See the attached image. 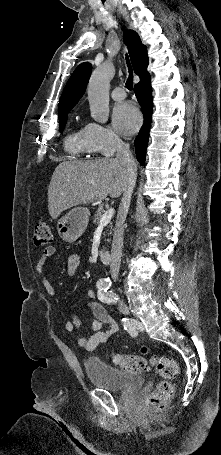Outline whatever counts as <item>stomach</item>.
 I'll return each mask as SVG.
<instances>
[{
    "mask_svg": "<svg viewBox=\"0 0 221 455\" xmlns=\"http://www.w3.org/2000/svg\"><path fill=\"white\" fill-rule=\"evenodd\" d=\"M90 211L86 207H76L62 216L57 222V231L62 240L75 242L88 225Z\"/></svg>",
    "mask_w": 221,
    "mask_h": 455,
    "instance_id": "obj_1",
    "label": "stomach"
}]
</instances>
